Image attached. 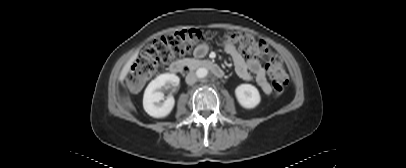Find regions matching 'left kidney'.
I'll list each match as a JSON object with an SVG mask.
<instances>
[{
    "label": "left kidney",
    "mask_w": 406,
    "mask_h": 168,
    "mask_svg": "<svg viewBox=\"0 0 406 168\" xmlns=\"http://www.w3.org/2000/svg\"><path fill=\"white\" fill-rule=\"evenodd\" d=\"M239 104L246 109L255 108L261 101L258 89L251 84H241L235 89Z\"/></svg>",
    "instance_id": "left-kidney-1"
}]
</instances>
